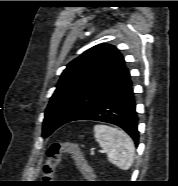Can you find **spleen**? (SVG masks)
<instances>
[{
    "label": "spleen",
    "instance_id": "3e777b00",
    "mask_svg": "<svg viewBox=\"0 0 178 186\" xmlns=\"http://www.w3.org/2000/svg\"><path fill=\"white\" fill-rule=\"evenodd\" d=\"M94 134L110 163L122 170L130 169L134 161L135 147L129 135L107 125H96Z\"/></svg>",
    "mask_w": 178,
    "mask_h": 186
}]
</instances>
